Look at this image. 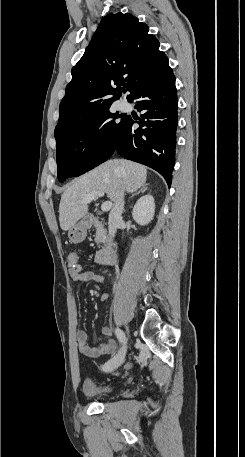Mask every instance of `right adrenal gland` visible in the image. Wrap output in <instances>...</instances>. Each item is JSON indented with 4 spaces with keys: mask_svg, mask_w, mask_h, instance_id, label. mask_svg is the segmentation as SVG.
Masks as SVG:
<instances>
[{
    "mask_svg": "<svg viewBox=\"0 0 245 457\" xmlns=\"http://www.w3.org/2000/svg\"><path fill=\"white\" fill-rule=\"evenodd\" d=\"M148 188V184H144V186H142V188H140V190H138V192H134V194H132V196H135V194H139V192H145V190H147ZM132 196H130V198H132Z\"/></svg>",
    "mask_w": 245,
    "mask_h": 457,
    "instance_id": "obj_1",
    "label": "right adrenal gland"
}]
</instances>
